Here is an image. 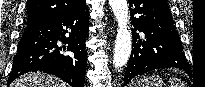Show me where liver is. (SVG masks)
Returning a JSON list of instances; mask_svg holds the SVG:
<instances>
[{
    "label": "liver",
    "instance_id": "liver-1",
    "mask_svg": "<svg viewBox=\"0 0 205 87\" xmlns=\"http://www.w3.org/2000/svg\"><path fill=\"white\" fill-rule=\"evenodd\" d=\"M10 87H68V85L54 76L37 72L22 75Z\"/></svg>",
    "mask_w": 205,
    "mask_h": 87
}]
</instances>
